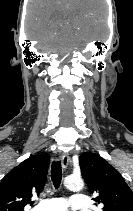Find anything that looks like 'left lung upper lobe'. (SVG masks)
I'll use <instances>...</instances> for the list:
<instances>
[{
	"instance_id": "1",
	"label": "left lung upper lobe",
	"mask_w": 133,
	"mask_h": 211,
	"mask_svg": "<svg viewBox=\"0 0 133 211\" xmlns=\"http://www.w3.org/2000/svg\"><path fill=\"white\" fill-rule=\"evenodd\" d=\"M81 174L94 200L104 205V211H133V192L105 159L85 152L79 157Z\"/></svg>"
}]
</instances>
